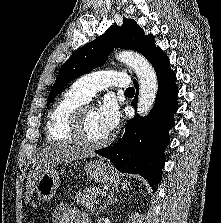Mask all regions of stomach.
<instances>
[{"instance_id":"0dacf381","label":"stomach","mask_w":221,"mask_h":223,"mask_svg":"<svg viewBox=\"0 0 221 223\" xmlns=\"http://www.w3.org/2000/svg\"><path fill=\"white\" fill-rule=\"evenodd\" d=\"M84 170L88 178L96 183H113L116 180V174L113 168L101 161L86 162ZM59 184V174L56 169H50L44 172L36 183L38 197L47 202L55 195Z\"/></svg>"}]
</instances>
